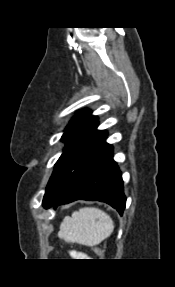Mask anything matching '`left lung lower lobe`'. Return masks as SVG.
Segmentation results:
<instances>
[{
    "label": "left lung lower lobe",
    "instance_id": "left-lung-lower-lobe-1",
    "mask_svg": "<svg viewBox=\"0 0 175 287\" xmlns=\"http://www.w3.org/2000/svg\"><path fill=\"white\" fill-rule=\"evenodd\" d=\"M98 200L108 203L122 215L126 197L123 180L117 163L113 160V148L108 146L90 167L82 173L61 195L44 206L56 208L75 200Z\"/></svg>",
    "mask_w": 175,
    "mask_h": 287
}]
</instances>
